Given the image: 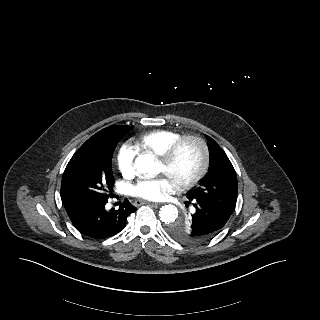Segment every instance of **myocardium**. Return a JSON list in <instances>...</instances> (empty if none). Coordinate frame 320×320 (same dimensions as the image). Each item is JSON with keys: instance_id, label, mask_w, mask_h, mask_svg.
I'll use <instances>...</instances> for the list:
<instances>
[{"instance_id": "myocardium-1", "label": "myocardium", "mask_w": 320, "mask_h": 320, "mask_svg": "<svg viewBox=\"0 0 320 320\" xmlns=\"http://www.w3.org/2000/svg\"><path fill=\"white\" fill-rule=\"evenodd\" d=\"M187 142H194L198 146L200 151V165L198 170L192 176L183 181L174 183L177 190H185L194 186L205 176L209 167L210 154L207 142L203 137L196 134L184 135L177 139L160 157L161 163L166 167H170L176 160L181 147Z\"/></svg>"}]
</instances>
